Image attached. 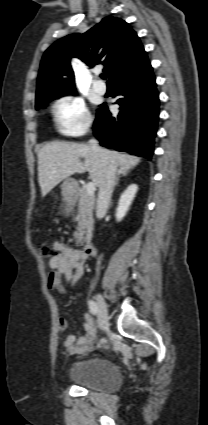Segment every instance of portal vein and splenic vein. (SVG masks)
Segmentation results:
<instances>
[{
  "label": "portal vein and splenic vein",
  "instance_id": "18ae733b",
  "mask_svg": "<svg viewBox=\"0 0 208 425\" xmlns=\"http://www.w3.org/2000/svg\"><path fill=\"white\" fill-rule=\"evenodd\" d=\"M95 190H96V186H95V183H94V182H89V183L86 185V192H87L89 195H94Z\"/></svg>",
  "mask_w": 208,
  "mask_h": 425
}]
</instances>
